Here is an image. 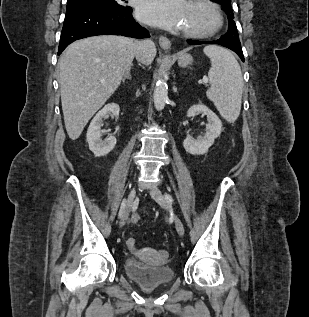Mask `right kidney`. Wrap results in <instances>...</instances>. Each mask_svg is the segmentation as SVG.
Returning a JSON list of instances; mask_svg holds the SVG:
<instances>
[{
  "label": "right kidney",
  "instance_id": "obj_1",
  "mask_svg": "<svg viewBox=\"0 0 309 317\" xmlns=\"http://www.w3.org/2000/svg\"><path fill=\"white\" fill-rule=\"evenodd\" d=\"M120 108L115 103L107 104L101 109L91 121L87 130V142L89 149L96 157L105 156L113 150L116 145V138L109 136L106 139L101 138V125L103 118L112 114L116 120L119 117Z\"/></svg>",
  "mask_w": 309,
  "mask_h": 317
}]
</instances>
